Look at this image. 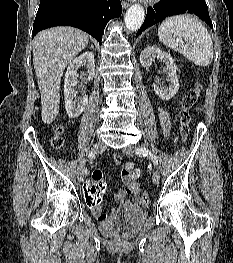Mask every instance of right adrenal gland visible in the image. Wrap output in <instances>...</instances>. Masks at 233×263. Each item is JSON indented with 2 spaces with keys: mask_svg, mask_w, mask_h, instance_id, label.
I'll return each instance as SVG.
<instances>
[{
  "mask_svg": "<svg viewBox=\"0 0 233 263\" xmlns=\"http://www.w3.org/2000/svg\"><path fill=\"white\" fill-rule=\"evenodd\" d=\"M91 48H94V46H93V45H91Z\"/></svg>",
  "mask_w": 233,
  "mask_h": 263,
  "instance_id": "2a0ac1e0",
  "label": "right adrenal gland"
}]
</instances>
